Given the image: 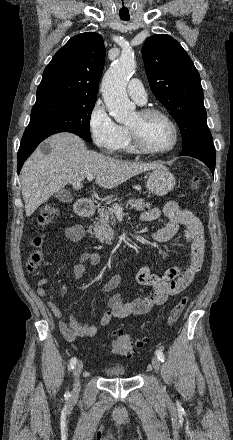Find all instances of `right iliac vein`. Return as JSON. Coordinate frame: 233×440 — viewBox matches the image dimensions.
I'll return each mask as SVG.
<instances>
[{
    "instance_id": "63e3f726",
    "label": "right iliac vein",
    "mask_w": 233,
    "mask_h": 440,
    "mask_svg": "<svg viewBox=\"0 0 233 440\" xmlns=\"http://www.w3.org/2000/svg\"><path fill=\"white\" fill-rule=\"evenodd\" d=\"M83 369V362L79 361L74 369H73V376H74V384H73V396L78 395L79 393V386H80V382H79V376L82 372Z\"/></svg>"
}]
</instances>
